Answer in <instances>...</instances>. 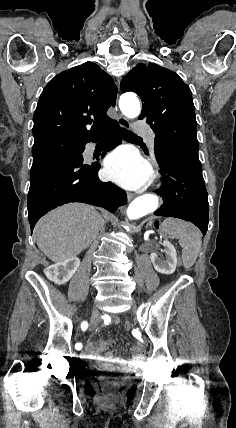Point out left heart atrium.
I'll return each instance as SVG.
<instances>
[{
    "label": "left heart atrium",
    "instance_id": "obj_1",
    "mask_svg": "<svg viewBox=\"0 0 236 428\" xmlns=\"http://www.w3.org/2000/svg\"><path fill=\"white\" fill-rule=\"evenodd\" d=\"M105 175L128 189H138L147 180L149 169L146 163L131 149L114 151L105 162Z\"/></svg>",
    "mask_w": 236,
    "mask_h": 428
}]
</instances>
